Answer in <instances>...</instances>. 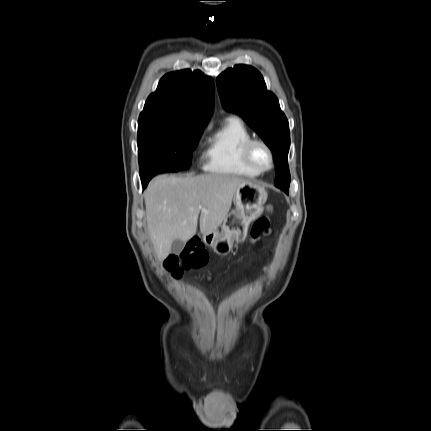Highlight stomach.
Here are the masks:
<instances>
[{
  "instance_id": "stomach-1",
  "label": "stomach",
  "mask_w": 431,
  "mask_h": 431,
  "mask_svg": "<svg viewBox=\"0 0 431 431\" xmlns=\"http://www.w3.org/2000/svg\"><path fill=\"white\" fill-rule=\"evenodd\" d=\"M267 196L259 184L247 182L239 186L234 197L235 209L226 216L220 231L203 236L204 243L218 254L230 253L235 243L245 240L250 223L262 214Z\"/></svg>"
}]
</instances>
